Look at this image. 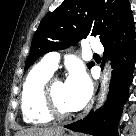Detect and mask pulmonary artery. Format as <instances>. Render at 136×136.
Segmentation results:
<instances>
[{
  "label": "pulmonary artery",
  "mask_w": 136,
  "mask_h": 136,
  "mask_svg": "<svg viewBox=\"0 0 136 136\" xmlns=\"http://www.w3.org/2000/svg\"><path fill=\"white\" fill-rule=\"evenodd\" d=\"M90 48H91L92 51H94L96 53H102L103 52L102 44L96 39H93L90 42ZM59 60H60V55H59L58 52H50V53L45 55L42 62L48 68H50L51 70L54 71L58 66Z\"/></svg>",
  "instance_id": "obj_1"
}]
</instances>
